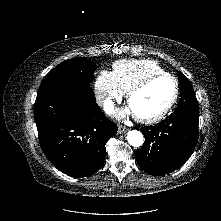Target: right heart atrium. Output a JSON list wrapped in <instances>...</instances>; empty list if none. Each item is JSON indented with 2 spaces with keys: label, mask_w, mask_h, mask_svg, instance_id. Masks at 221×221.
Here are the masks:
<instances>
[{
  "label": "right heart atrium",
  "mask_w": 221,
  "mask_h": 221,
  "mask_svg": "<svg viewBox=\"0 0 221 221\" xmlns=\"http://www.w3.org/2000/svg\"><path fill=\"white\" fill-rule=\"evenodd\" d=\"M95 92L98 101L105 105H109L115 99H120L124 93L113 73L109 71L99 72L95 81Z\"/></svg>",
  "instance_id": "d8ad5b80"
}]
</instances>
